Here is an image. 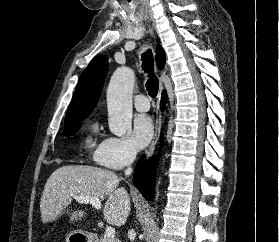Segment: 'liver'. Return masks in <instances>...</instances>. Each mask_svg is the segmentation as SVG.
<instances>
[{"label":"liver","instance_id":"liver-1","mask_svg":"<svg viewBox=\"0 0 279 242\" xmlns=\"http://www.w3.org/2000/svg\"><path fill=\"white\" fill-rule=\"evenodd\" d=\"M121 179L112 171L87 165H67L55 170L47 180L40 201L41 220H56L79 195L107 201L105 220L117 227L125 224L131 210L128 192L119 187ZM85 212L74 211L70 221L81 220Z\"/></svg>","mask_w":279,"mask_h":242}]
</instances>
